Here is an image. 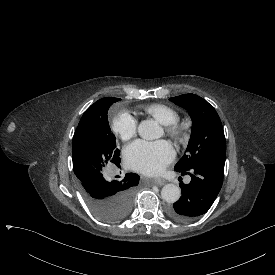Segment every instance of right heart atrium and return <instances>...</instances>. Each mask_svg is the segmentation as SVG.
Here are the masks:
<instances>
[{
	"label": "right heart atrium",
	"instance_id": "obj_1",
	"mask_svg": "<svg viewBox=\"0 0 275 275\" xmlns=\"http://www.w3.org/2000/svg\"><path fill=\"white\" fill-rule=\"evenodd\" d=\"M111 130L120 140L128 142L136 135L137 123L129 114L121 113L113 118L111 122Z\"/></svg>",
	"mask_w": 275,
	"mask_h": 275
}]
</instances>
